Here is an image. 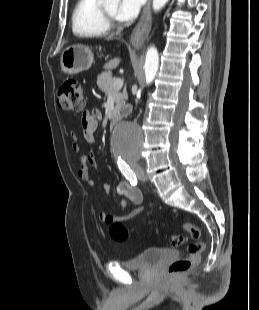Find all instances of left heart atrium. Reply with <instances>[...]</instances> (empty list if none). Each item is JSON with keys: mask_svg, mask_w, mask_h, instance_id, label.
Returning <instances> with one entry per match:
<instances>
[{"mask_svg": "<svg viewBox=\"0 0 259 310\" xmlns=\"http://www.w3.org/2000/svg\"><path fill=\"white\" fill-rule=\"evenodd\" d=\"M144 0H120L115 18L122 22L132 21L137 17Z\"/></svg>", "mask_w": 259, "mask_h": 310, "instance_id": "39dd6f15", "label": "left heart atrium"}]
</instances>
